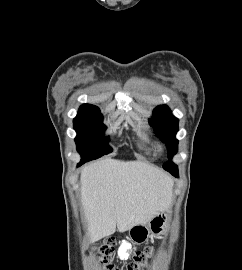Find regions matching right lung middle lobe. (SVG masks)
<instances>
[{"label":"right lung middle lobe","instance_id":"right-lung-middle-lobe-1","mask_svg":"<svg viewBox=\"0 0 242 270\" xmlns=\"http://www.w3.org/2000/svg\"><path fill=\"white\" fill-rule=\"evenodd\" d=\"M100 112L90 115H77L74 119V129L77 151L81 154L80 164L97 159L112 152L108 145V137H104L106 126L102 123Z\"/></svg>","mask_w":242,"mask_h":270}]
</instances>
